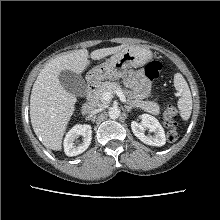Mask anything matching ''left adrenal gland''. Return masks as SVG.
Instances as JSON below:
<instances>
[{
    "mask_svg": "<svg viewBox=\"0 0 220 220\" xmlns=\"http://www.w3.org/2000/svg\"><path fill=\"white\" fill-rule=\"evenodd\" d=\"M125 108H126V111H127V112H130L131 109H132V106H125Z\"/></svg>",
    "mask_w": 220,
    "mask_h": 220,
    "instance_id": "a2214340",
    "label": "left adrenal gland"
}]
</instances>
